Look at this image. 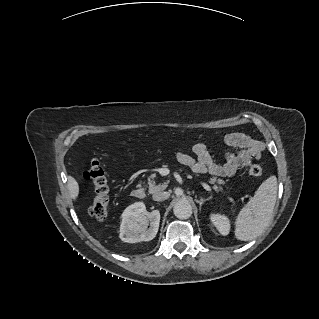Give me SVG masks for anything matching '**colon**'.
I'll return each mask as SVG.
<instances>
[{
	"label": "colon",
	"mask_w": 319,
	"mask_h": 319,
	"mask_svg": "<svg viewBox=\"0 0 319 319\" xmlns=\"http://www.w3.org/2000/svg\"><path fill=\"white\" fill-rule=\"evenodd\" d=\"M248 172L251 176L258 177L262 175L263 170L258 165H252ZM82 174L85 180L91 184L94 192L90 214L97 222H102L107 217L110 202V190L105 171L99 160L94 158L85 165Z\"/></svg>",
	"instance_id": "obj_1"
}]
</instances>
